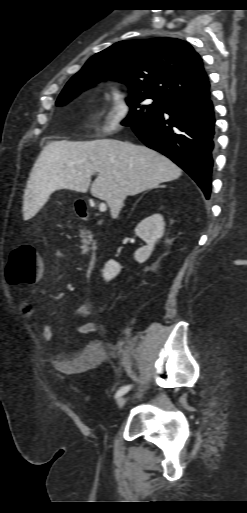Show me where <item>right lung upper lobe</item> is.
<instances>
[{"instance_id":"obj_1","label":"right lung upper lobe","mask_w":247,"mask_h":513,"mask_svg":"<svg viewBox=\"0 0 247 513\" xmlns=\"http://www.w3.org/2000/svg\"><path fill=\"white\" fill-rule=\"evenodd\" d=\"M111 77L165 103L210 94L202 58L190 44L176 38L117 42L92 56L71 79L98 82Z\"/></svg>"}]
</instances>
